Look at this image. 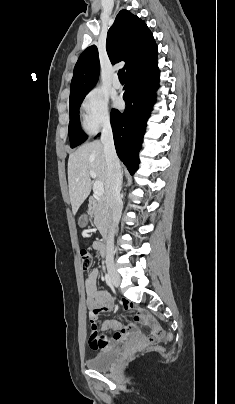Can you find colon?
<instances>
[{"label": "colon", "mask_w": 235, "mask_h": 404, "mask_svg": "<svg viewBox=\"0 0 235 404\" xmlns=\"http://www.w3.org/2000/svg\"><path fill=\"white\" fill-rule=\"evenodd\" d=\"M80 259H81V266L84 271L88 270L92 265V255L87 248L80 249ZM89 329L90 333L93 337L96 336L97 332V324H96V317L94 315H90L89 317ZM148 339L152 343H159L164 339H169V335H165V333L156 327H151L150 331L148 332ZM103 340H99L98 343H102Z\"/></svg>", "instance_id": "obj_1"}]
</instances>
